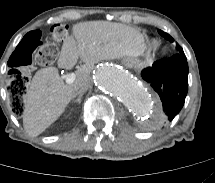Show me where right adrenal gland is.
I'll use <instances>...</instances> for the list:
<instances>
[{
  "label": "right adrenal gland",
  "instance_id": "1",
  "mask_svg": "<svg viewBox=\"0 0 215 183\" xmlns=\"http://www.w3.org/2000/svg\"><path fill=\"white\" fill-rule=\"evenodd\" d=\"M82 96H83V93H81L79 96H78V98L77 99H73V102H77V103H81V98H82Z\"/></svg>",
  "mask_w": 215,
  "mask_h": 183
}]
</instances>
